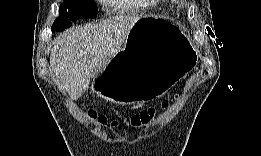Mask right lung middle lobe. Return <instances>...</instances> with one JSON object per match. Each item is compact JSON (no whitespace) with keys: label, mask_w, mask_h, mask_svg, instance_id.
I'll list each match as a JSON object with an SVG mask.
<instances>
[{"label":"right lung middle lobe","mask_w":261,"mask_h":156,"mask_svg":"<svg viewBox=\"0 0 261 156\" xmlns=\"http://www.w3.org/2000/svg\"><path fill=\"white\" fill-rule=\"evenodd\" d=\"M98 11L92 0H64L60 6L59 17L52 25V31H63L79 19L94 18Z\"/></svg>","instance_id":"dd1d6c3e"}]
</instances>
